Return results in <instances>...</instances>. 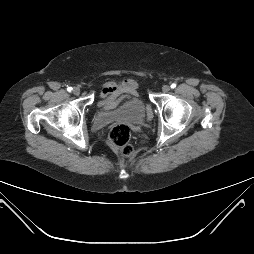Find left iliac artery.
Returning a JSON list of instances; mask_svg holds the SVG:
<instances>
[{
  "instance_id": "obj_1",
  "label": "left iliac artery",
  "mask_w": 254,
  "mask_h": 254,
  "mask_svg": "<svg viewBox=\"0 0 254 254\" xmlns=\"http://www.w3.org/2000/svg\"><path fill=\"white\" fill-rule=\"evenodd\" d=\"M175 87H176L175 83L171 84V88H175Z\"/></svg>"
}]
</instances>
